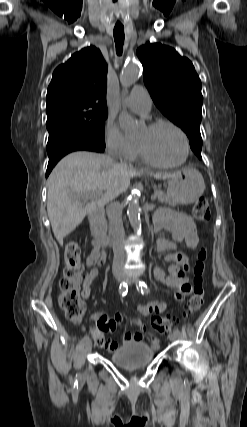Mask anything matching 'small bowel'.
Here are the masks:
<instances>
[{"label":"small bowel","instance_id":"obj_1","mask_svg":"<svg viewBox=\"0 0 247 427\" xmlns=\"http://www.w3.org/2000/svg\"><path fill=\"white\" fill-rule=\"evenodd\" d=\"M154 229L156 232L166 230L171 233V239L159 238L156 241V248L161 253H167L165 260L171 264L168 267V274L159 268H154L155 278L166 286L175 289V299L183 301L190 293L188 282V273L190 271L189 259L187 255L181 252H175L180 245H184L189 251L194 250L199 242L196 224L193 219L184 213L173 212L168 209L158 211L154 217ZM106 262V253L100 249V246L93 242V249L85 260V265L89 269L84 282L82 294L88 298L99 277L98 267ZM167 309V305L161 301H152L147 304H141L136 307V311L141 316H148L152 313H162ZM91 320L103 332H113L122 322L123 316L117 312L113 318H109L105 313L97 312L91 316ZM132 324L139 327V331L127 332L123 336V343L141 342L144 337L150 341L152 348L158 349L160 341L148 330V327L139 319L131 321ZM108 351L113 352L117 349L116 341L106 343Z\"/></svg>","mask_w":247,"mask_h":427}]
</instances>
